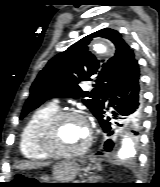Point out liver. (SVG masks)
Instances as JSON below:
<instances>
[{"instance_id": "obj_1", "label": "liver", "mask_w": 160, "mask_h": 187, "mask_svg": "<svg viewBox=\"0 0 160 187\" xmlns=\"http://www.w3.org/2000/svg\"><path fill=\"white\" fill-rule=\"evenodd\" d=\"M37 166H40V164L27 162V163L21 164L19 167L22 168V169H32V168H35Z\"/></svg>"}]
</instances>
